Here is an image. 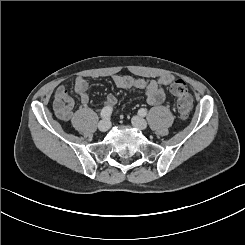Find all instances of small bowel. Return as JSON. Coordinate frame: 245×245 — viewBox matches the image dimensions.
<instances>
[{
  "instance_id": "1",
  "label": "small bowel",
  "mask_w": 245,
  "mask_h": 245,
  "mask_svg": "<svg viewBox=\"0 0 245 245\" xmlns=\"http://www.w3.org/2000/svg\"><path fill=\"white\" fill-rule=\"evenodd\" d=\"M114 83L122 89H138L145 92L146 101L149 105H160L166 101L165 87L169 86L174 77L169 74L160 76L157 79L145 80L134 78L129 75H114L112 77ZM74 91L79 96L83 105L89 101L88 83L79 76L74 81ZM117 103L114 94H109L104 103L105 107H113ZM54 111L56 116L63 121H73L75 113L73 111L74 101L71 98L68 89L64 85H59L54 94Z\"/></svg>"
}]
</instances>
